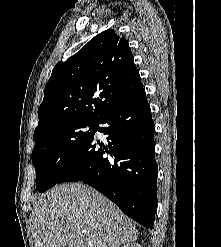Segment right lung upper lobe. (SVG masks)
<instances>
[{
    "label": "right lung upper lobe",
    "instance_id": "obj_1",
    "mask_svg": "<svg viewBox=\"0 0 221 247\" xmlns=\"http://www.w3.org/2000/svg\"><path fill=\"white\" fill-rule=\"evenodd\" d=\"M142 89L128 41L113 29L54 67L34 137L68 122H97Z\"/></svg>",
    "mask_w": 221,
    "mask_h": 247
}]
</instances>
